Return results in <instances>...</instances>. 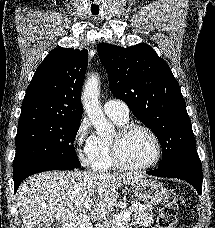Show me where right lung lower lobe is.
I'll return each instance as SVG.
<instances>
[{
    "label": "right lung lower lobe",
    "mask_w": 215,
    "mask_h": 228,
    "mask_svg": "<svg viewBox=\"0 0 215 228\" xmlns=\"http://www.w3.org/2000/svg\"><path fill=\"white\" fill-rule=\"evenodd\" d=\"M73 169H77V168L72 166L59 165V164H35V165H29V166L19 168L13 171L14 192L16 193L22 180H24L26 177L33 175L35 173L49 171V170H73Z\"/></svg>",
    "instance_id": "1"
}]
</instances>
